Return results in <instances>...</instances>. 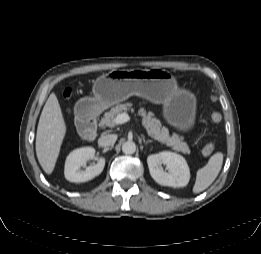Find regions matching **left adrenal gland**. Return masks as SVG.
<instances>
[{
	"label": "left adrenal gland",
	"mask_w": 261,
	"mask_h": 254,
	"mask_svg": "<svg viewBox=\"0 0 261 254\" xmlns=\"http://www.w3.org/2000/svg\"><path fill=\"white\" fill-rule=\"evenodd\" d=\"M143 143L145 144V145H147L148 143H152V140H145L144 138H143Z\"/></svg>",
	"instance_id": "obj_1"
}]
</instances>
